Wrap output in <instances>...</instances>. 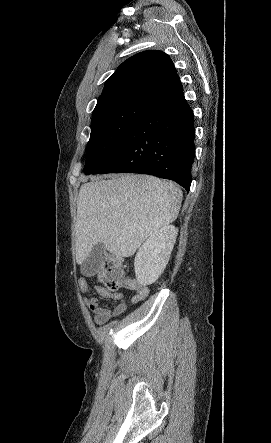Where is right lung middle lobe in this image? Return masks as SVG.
Wrapping results in <instances>:
<instances>
[{
  "label": "right lung middle lobe",
  "mask_w": 271,
  "mask_h": 443,
  "mask_svg": "<svg viewBox=\"0 0 271 443\" xmlns=\"http://www.w3.org/2000/svg\"><path fill=\"white\" fill-rule=\"evenodd\" d=\"M152 105L140 99H126L95 107L86 150L85 174L102 167L138 118Z\"/></svg>",
  "instance_id": "dd1d6c3e"
}]
</instances>
